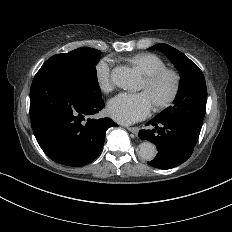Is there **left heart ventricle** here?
I'll return each instance as SVG.
<instances>
[{
    "label": "left heart ventricle",
    "instance_id": "left-heart-ventricle-1",
    "mask_svg": "<svg viewBox=\"0 0 232 232\" xmlns=\"http://www.w3.org/2000/svg\"><path fill=\"white\" fill-rule=\"evenodd\" d=\"M172 88V79L170 76H164L159 83L151 90H147L145 88L144 80L142 81L140 89L145 90L149 96L155 107L164 100L168 94L170 93Z\"/></svg>",
    "mask_w": 232,
    "mask_h": 232
}]
</instances>
